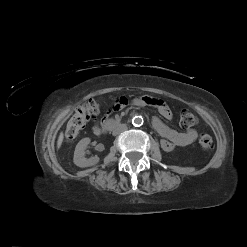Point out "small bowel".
Here are the masks:
<instances>
[{"label": "small bowel", "mask_w": 247, "mask_h": 247, "mask_svg": "<svg viewBox=\"0 0 247 247\" xmlns=\"http://www.w3.org/2000/svg\"><path fill=\"white\" fill-rule=\"evenodd\" d=\"M128 100L124 96H119L114 100L112 104L106 109V112L109 115H112L115 111L120 112L126 105ZM134 104L138 106L143 105H152L157 108L159 113L167 120L172 119V112L168 105L162 100L150 98V97H141L134 100ZM152 124L156 132L161 136L160 146L166 152L173 151L176 147H186L192 144L198 133L195 129H189L185 132H179L174 129L169 128L165 125L159 118L154 117ZM94 134H99L100 127L98 124L93 127Z\"/></svg>", "instance_id": "small-bowel-1"}]
</instances>
